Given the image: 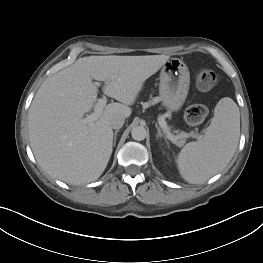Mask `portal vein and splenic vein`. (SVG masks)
Segmentation results:
<instances>
[{"mask_svg": "<svg viewBox=\"0 0 263 263\" xmlns=\"http://www.w3.org/2000/svg\"><path fill=\"white\" fill-rule=\"evenodd\" d=\"M95 85L97 86H100V83L99 82H96ZM107 104V98L105 96H103L102 98H100L98 100V102L95 104L94 106V111L88 115L87 117H85L83 119V122L86 123V124H89V125H92L101 115V112L103 111L104 107L106 106ZM158 123L160 125V127L163 129V131L165 132L167 138L175 143L177 138H176V135H174L171 131H170V128L168 127L165 119L163 117H159L158 118ZM189 136H192V137H197L196 134L194 133H191Z\"/></svg>", "mask_w": 263, "mask_h": 263, "instance_id": "obj_1", "label": "portal vein and splenic vein"}]
</instances>
